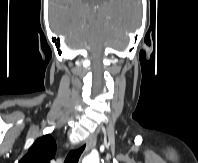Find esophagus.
Returning <instances> with one entry per match:
<instances>
[{
    "mask_svg": "<svg viewBox=\"0 0 198 163\" xmlns=\"http://www.w3.org/2000/svg\"><path fill=\"white\" fill-rule=\"evenodd\" d=\"M96 142H97V134L94 133L86 141L85 152H88L90 149H92L96 145Z\"/></svg>",
    "mask_w": 198,
    "mask_h": 163,
    "instance_id": "esophagus-1",
    "label": "esophagus"
}]
</instances>
